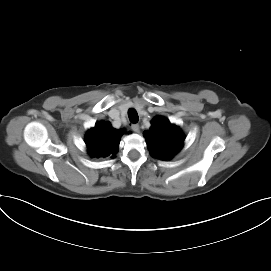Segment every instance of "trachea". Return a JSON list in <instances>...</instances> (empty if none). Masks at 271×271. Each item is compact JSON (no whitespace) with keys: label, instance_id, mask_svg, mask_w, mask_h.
Returning a JSON list of instances; mask_svg holds the SVG:
<instances>
[{"label":"trachea","instance_id":"1","mask_svg":"<svg viewBox=\"0 0 271 271\" xmlns=\"http://www.w3.org/2000/svg\"><path fill=\"white\" fill-rule=\"evenodd\" d=\"M128 117L132 123L138 122V114L135 109H129L128 110Z\"/></svg>","mask_w":271,"mask_h":271}]
</instances>
